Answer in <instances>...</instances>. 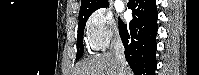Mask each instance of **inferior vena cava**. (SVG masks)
<instances>
[{"instance_id":"inferior-vena-cava-1","label":"inferior vena cava","mask_w":199,"mask_h":75,"mask_svg":"<svg viewBox=\"0 0 199 75\" xmlns=\"http://www.w3.org/2000/svg\"><path fill=\"white\" fill-rule=\"evenodd\" d=\"M111 52L114 54L116 60L120 64L121 68L119 70V75H124L123 67L127 64L124 55V46L122 40L118 34H116L113 38L111 44Z\"/></svg>"}]
</instances>
